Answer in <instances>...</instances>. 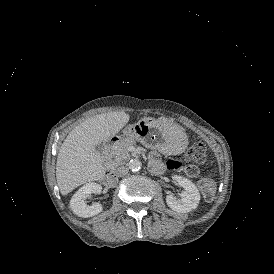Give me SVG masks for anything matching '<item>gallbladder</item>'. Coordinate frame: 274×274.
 Returning a JSON list of instances; mask_svg holds the SVG:
<instances>
[{"label":"gallbladder","instance_id":"obj_1","mask_svg":"<svg viewBox=\"0 0 274 274\" xmlns=\"http://www.w3.org/2000/svg\"><path fill=\"white\" fill-rule=\"evenodd\" d=\"M103 148H104V145L103 144H99L97 147H96V150L99 151L100 153L103 152Z\"/></svg>","mask_w":274,"mask_h":274}]
</instances>
